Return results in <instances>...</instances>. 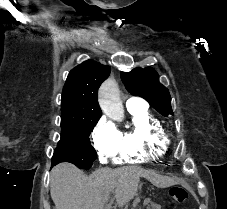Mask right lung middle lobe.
Segmentation results:
<instances>
[{
    "mask_svg": "<svg viewBox=\"0 0 227 209\" xmlns=\"http://www.w3.org/2000/svg\"><path fill=\"white\" fill-rule=\"evenodd\" d=\"M99 118L100 116L61 117V139L54 151L51 166L70 162L81 169L91 168L96 151L88 137Z\"/></svg>",
    "mask_w": 227,
    "mask_h": 209,
    "instance_id": "1",
    "label": "right lung middle lobe"
}]
</instances>
